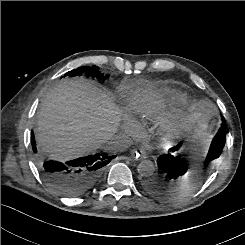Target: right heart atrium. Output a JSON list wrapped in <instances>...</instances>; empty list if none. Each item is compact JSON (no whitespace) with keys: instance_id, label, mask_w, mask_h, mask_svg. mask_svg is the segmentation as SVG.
I'll list each match as a JSON object with an SVG mask.
<instances>
[{"instance_id":"1","label":"right heart atrium","mask_w":245,"mask_h":245,"mask_svg":"<svg viewBox=\"0 0 245 245\" xmlns=\"http://www.w3.org/2000/svg\"><path fill=\"white\" fill-rule=\"evenodd\" d=\"M122 130L128 136H135L139 130V124L132 116L127 115L124 119Z\"/></svg>"}]
</instances>
